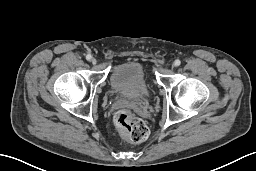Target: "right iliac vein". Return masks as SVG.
<instances>
[{
  "mask_svg": "<svg viewBox=\"0 0 256 171\" xmlns=\"http://www.w3.org/2000/svg\"><path fill=\"white\" fill-rule=\"evenodd\" d=\"M91 62H92L93 65H95L97 63V60L95 58H92Z\"/></svg>",
  "mask_w": 256,
  "mask_h": 171,
  "instance_id": "right-iliac-vein-1",
  "label": "right iliac vein"
}]
</instances>
